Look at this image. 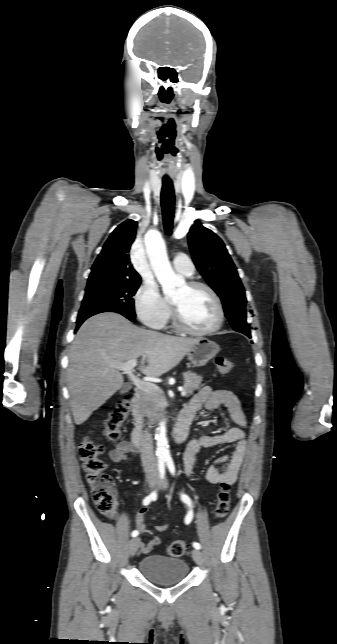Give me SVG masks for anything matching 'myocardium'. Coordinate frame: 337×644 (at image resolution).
<instances>
[{"label": "myocardium", "mask_w": 337, "mask_h": 644, "mask_svg": "<svg viewBox=\"0 0 337 644\" xmlns=\"http://www.w3.org/2000/svg\"><path fill=\"white\" fill-rule=\"evenodd\" d=\"M186 286L189 289L203 288V289L207 290L210 293V295L212 296V298H213V300L215 302L216 308H217V319H216V322L214 323V325L212 327H210L209 329L202 330V331L194 330V329L190 328L184 322V320L182 319L177 307L173 303H171V305H172V318H173V322H174L175 327L178 330H180V331H182V332H184V333H186L188 335H192V336L206 337V336L213 335L214 333H216L222 327V325L224 323V319H225L224 307H223V304H222L220 296L218 295V293L215 291V289L213 287H211L207 283H204V282H201V281H189V282L186 283Z\"/></svg>", "instance_id": "f54148a6"}]
</instances>
